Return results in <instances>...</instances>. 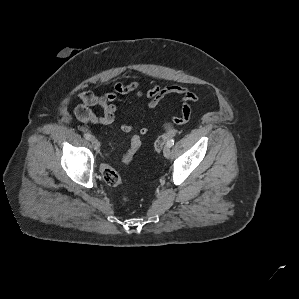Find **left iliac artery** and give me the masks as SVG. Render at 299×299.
Returning a JSON list of instances; mask_svg holds the SVG:
<instances>
[{
    "label": "left iliac artery",
    "mask_w": 299,
    "mask_h": 299,
    "mask_svg": "<svg viewBox=\"0 0 299 299\" xmlns=\"http://www.w3.org/2000/svg\"><path fill=\"white\" fill-rule=\"evenodd\" d=\"M173 145H174V139H170V140L167 142V146L172 147Z\"/></svg>",
    "instance_id": "obj_1"
}]
</instances>
